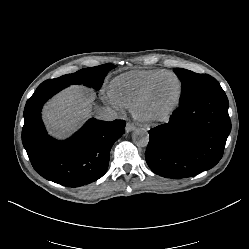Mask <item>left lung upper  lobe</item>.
Segmentation results:
<instances>
[{"mask_svg": "<svg viewBox=\"0 0 249 249\" xmlns=\"http://www.w3.org/2000/svg\"><path fill=\"white\" fill-rule=\"evenodd\" d=\"M174 72L182 82L180 104L207 92L223 90L218 81L208 74H198L182 68H175Z\"/></svg>", "mask_w": 249, "mask_h": 249, "instance_id": "left-lung-upper-lobe-1", "label": "left lung upper lobe"}]
</instances>
